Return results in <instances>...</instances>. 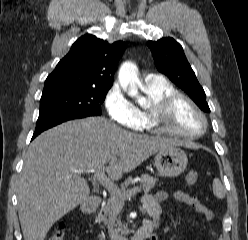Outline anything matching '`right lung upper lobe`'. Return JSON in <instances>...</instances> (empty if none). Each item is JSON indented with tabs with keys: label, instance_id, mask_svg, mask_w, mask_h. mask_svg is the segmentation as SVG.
I'll list each match as a JSON object with an SVG mask.
<instances>
[{
	"label": "right lung upper lobe",
	"instance_id": "1",
	"mask_svg": "<svg viewBox=\"0 0 248 240\" xmlns=\"http://www.w3.org/2000/svg\"><path fill=\"white\" fill-rule=\"evenodd\" d=\"M126 48L122 41L109 44L86 34L47 77L43 91L59 88L109 90L116 65Z\"/></svg>",
	"mask_w": 248,
	"mask_h": 240
}]
</instances>
